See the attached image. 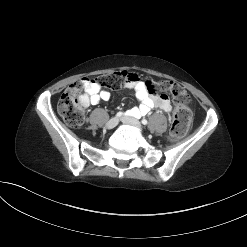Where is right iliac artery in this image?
Returning a JSON list of instances; mask_svg holds the SVG:
<instances>
[{
  "label": "right iliac artery",
  "instance_id": "right-iliac-artery-1",
  "mask_svg": "<svg viewBox=\"0 0 247 247\" xmlns=\"http://www.w3.org/2000/svg\"><path fill=\"white\" fill-rule=\"evenodd\" d=\"M122 115H123V112H118V113L116 114L117 117H120V116H122ZM125 115H130V114H129V111L126 112Z\"/></svg>",
  "mask_w": 247,
  "mask_h": 247
}]
</instances>
